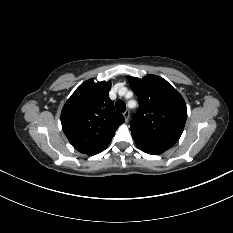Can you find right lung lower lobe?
<instances>
[{
    "label": "right lung lower lobe",
    "instance_id": "1",
    "mask_svg": "<svg viewBox=\"0 0 233 233\" xmlns=\"http://www.w3.org/2000/svg\"><path fill=\"white\" fill-rule=\"evenodd\" d=\"M106 147H107V146H106ZM106 147H104V148H102V149H100V150H98V151H94V152H92V153H89L88 155H95V154H97V153H100L101 151L105 150Z\"/></svg>",
    "mask_w": 233,
    "mask_h": 233
}]
</instances>
